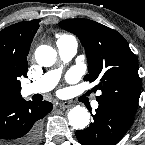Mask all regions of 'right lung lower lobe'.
<instances>
[{"mask_svg": "<svg viewBox=\"0 0 145 145\" xmlns=\"http://www.w3.org/2000/svg\"><path fill=\"white\" fill-rule=\"evenodd\" d=\"M53 108L50 102L24 101L22 97L0 99V142L37 145L40 123Z\"/></svg>", "mask_w": 145, "mask_h": 145, "instance_id": "98d812e1", "label": "right lung lower lobe"}]
</instances>
